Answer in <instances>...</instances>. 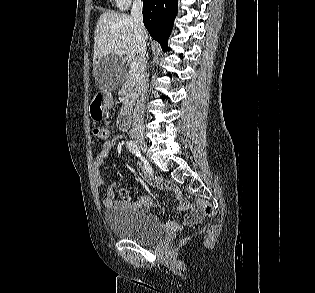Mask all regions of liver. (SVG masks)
Segmentation results:
<instances>
[{
    "label": "liver",
    "mask_w": 315,
    "mask_h": 293,
    "mask_svg": "<svg viewBox=\"0 0 315 293\" xmlns=\"http://www.w3.org/2000/svg\"><path fill=\"white\" fill-rule=\"evenodd\" d=\"M137 53L133 18L110 11L101 14L95 28L94 59L115 54L125 61L133 59Z\"/></svg>",
    "instance_id": "obj_1"
}]
</instances>
